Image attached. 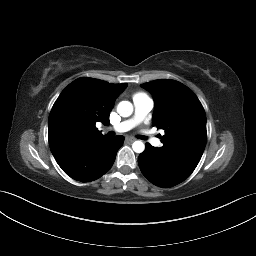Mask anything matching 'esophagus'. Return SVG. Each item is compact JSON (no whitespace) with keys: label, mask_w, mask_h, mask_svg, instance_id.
Returning <instances> with one entry per match:
<instances>
[{"label":"esophagus","mask_w":256,"mask_h":256,"mask_svg":"<svg viewBox=\"0 0 256 256\" xmlns=\"http://www.w3.org/2000/svg\"><path fill=\"white\" fill-rule=\"evenodd\" d=\"M126 141L132 143V142L135 141V138L127 137V138H126Z\"/></svg>","instance_id":"esophagus-1"}]
</instances>
